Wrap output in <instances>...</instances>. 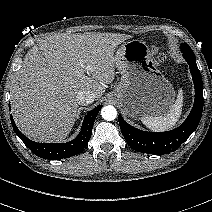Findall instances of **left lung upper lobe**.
<instances>
[{
    "instance_id": "5c2ea615",
    "label": "left lung upper lobe",
    "mask_w": 212,
    "mask_h": 212,
    "mask_svg": "<svg viewBox=\"0 0 212 212\" xmlns=\"http://www.w3.org/2000/svg\"><path fill=\"white\" fill-rule=\"evenodd\" d=\"M181 51L187 54H194L190 46L186 43L181 44Z\"/></svg>"
}]
</instances>
